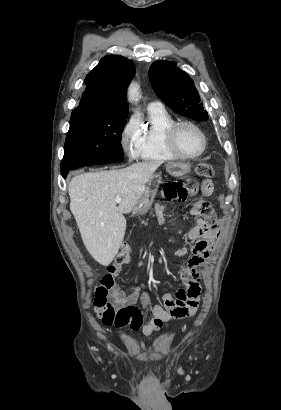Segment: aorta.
Here are the masks:
<instances>
[{
  "instance_id": "762f6f07",
  "label": "aorta",
  "mask_w": 281,
  "mask_h": 410,
  "mask_svg": "<svg viewBox=\"0 0 281 410\" xmlns=\"http://www.w3.org/2000/svg\"><path fill=\"white\" fill-rule=\"evenodd\" d=\"M140 98V88L137 83L133 82L128 88V99L131 102H137Z\"/></svg>"
}]
</instances>
